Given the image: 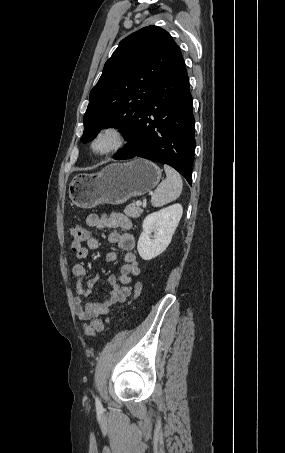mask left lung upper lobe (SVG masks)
<instances>
[{
	"mask_svg": "<svg viewBox=\"0 0 285 453\" xmlns=\"http://www.w3.org/2000/svg\"><path fill=\"white\" fill-rule=\"evenodd\" d=\"M179 47L164 29L144 27L124 38L91 90L81 141L106 127H120L127 139L139 114Z\"/></svg>",
	"mask_w": 285,
	"mask_h": 453,
	"instance_id": "1",
	"label": "left lung upper lobe"
}]
</instances>
